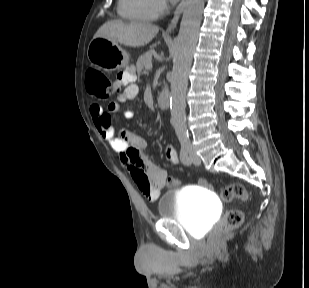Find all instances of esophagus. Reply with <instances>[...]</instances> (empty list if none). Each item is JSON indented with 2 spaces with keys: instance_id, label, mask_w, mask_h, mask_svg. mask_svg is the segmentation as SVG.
I'll return each mask as SVG.
<instances>
[{
  "instance_id": "obj_1",
  "label": "esophagus",
  "mask_w": 309,
  "mask_h": 288,
  "mask_svg": "<svg viewBox=\"0 0 309 288\" xmlns=\"http://www.w3.org/2000/svg\"><path fill=\"white\" fill-rule=\"evenodd\" d=\"M189 0H181V2L179 3V5L177 6L175 12H174V16L169 24V26L166 29V32L170 33L177 25L182 12L184 11V8L186 7L187 3Z\"/></svg>"
}]
</instances>
